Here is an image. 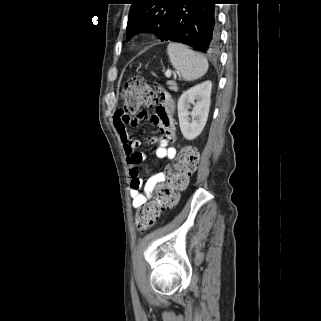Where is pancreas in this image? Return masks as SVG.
<instances>
[{"instance_id": "obj_1", "label": "pancreas", "mask_w": 321, "mask_h": 321, "mask_svg": "<svg viewBox=\"0 0 321 321\" xmlns=\"http://www.w3.org/2000/svg\"><path fill=\"white\" fill-rule=\"evenodd\" d=\"M167 85H169V89L172 91L177 92L178 91V87L175 81H168Z\"/></svg>"}]
</instances>
